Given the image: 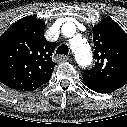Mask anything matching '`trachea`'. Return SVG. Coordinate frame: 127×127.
I'll return each mask as SVG.
<instances>
[{
    "mask_svg": "<svg viewBox=\"0 0 127 127\" xmlns=\"http://www.w3.org/2000/svg\"><path fill=\"white\" fill-rule=\"evenodd\" d=\"M68 51V46L63 44L58 47V49L56 50V54L68 55Z\"/></svg>",
    "mask_w": 127,
    "mask_h": 127,
    "instance_id": "1",
    "label": "trachea"
}]
</instances>
